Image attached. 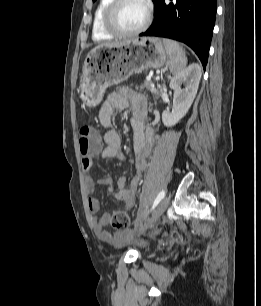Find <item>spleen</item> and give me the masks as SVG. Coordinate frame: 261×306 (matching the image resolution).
<instances>
[{
	"instance_id": "spleen-1",
	"label": "spleen",
	"mask_w": 261,
	"mask_h": 306,
	"mask_svg": "<svg viewBox=\"0 0 261 306\" xmlns=\"http://www.w3.org/2000/svg\"><path fill=\"white\" fill-rule=\"evenodd\" d=\"M166 52L169 56L170 71L172 74L180 73L187 65L184 49L175 41L163 39Z\"/></svg>"
}]
</instances>
